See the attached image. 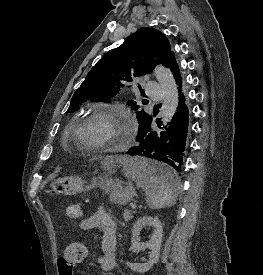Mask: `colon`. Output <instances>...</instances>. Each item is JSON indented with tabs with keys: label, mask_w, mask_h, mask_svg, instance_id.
I'll return each mask as SVG.
<instances>
[{
	"label": "colon",
	"mask_w": 263,
	"mask_h": 275,
	"mask_svg": "<svg viewBox=\"0 0 263 275\" xmlns=\"http://www.w3.org/2000/svg\"><path fill=\"white\" fill-rule=\"evenodd\" d=\"M83 207L81 203H71L66 208V215L70 219L81 217ZM87 256V247L82 241L72 242L65 250L62 257L58 259V267L63 275H73L76 265L82 263Z\"/></svg>",
	"instance_id": "obj_1"
}]
</instances>
